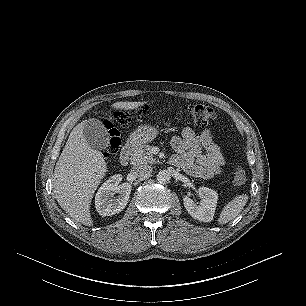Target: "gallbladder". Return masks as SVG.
<instances>
[{
	"label": "gallbladder",
	"instance_id": "obj_1",
	"mask_svg": "<svg viewBox=\"0 0 306 306\" xmlns=\"http://www.w3.org/2000/svg\"><path fill=\"white\" fill-rule=\"evenodd\" d=\"M83 134L88 144L94 149H105L109 144L108 131L100 120H86Z\"/></svg>",
	"mask_w": 306,
	"mask_h": 306
}]
</instances>
